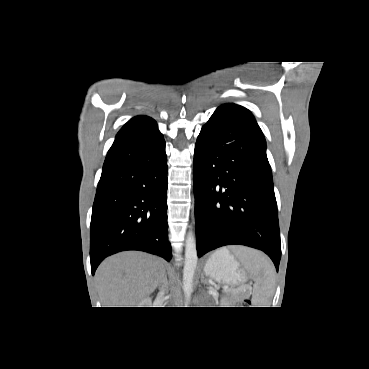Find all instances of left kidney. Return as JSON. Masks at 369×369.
I'll return each instance as SVG.
<instances>
[{
  "label": "left kidney",
  "mask_w": 369,
  "mask_h": 369,
  "mask_svg": "<svg viewBox=\"0 0 369 369\" xmlns=\"http://www.w3.org/2000/svg\"><path fill=\"white\" fill-rule=\"evenodd\" d=\"M221 304H222L223 307L229 306L228 303H227V299L226 298H222Z\"/></svg>",
  "instance_id": "5707ae66"
}]
</instances>
